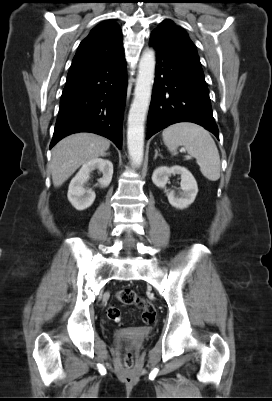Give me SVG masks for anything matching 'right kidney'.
Wrapping results in <instances>:
<instances>
[{"label":"right kidney","instance_id":"obj_1","mask_svg":"<svg viewBox=\"0 0 272 401\" xmlns=\"http://www.w3.org/2000/svg\"><path fill=\"white\" fill-rule=\"evenodd\" d=\"M95 169H98L103 174L102 178L98 180L101 187H107L112 180L113 164L111 161L96 158L85 163L71 180L68 188V200L77 210L87 209L95 200V192L84 188V184L89 180L90 173Z\"/></svg>","mask_w":272,"mask_h":401}]
</instances>
